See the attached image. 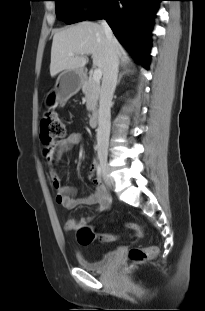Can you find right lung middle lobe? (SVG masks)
<instances>
[{
    "mask_svg": "<svg viewBox=\"0 0 205 311\" xmlns=\"http://www.w3.org/2000/svg\"><path fill=\"white\" fill-rule=\"evenodd\" d=\"M56 3L57 18L67 24L83 21L87 14H81L80 8L85 5L93 7L92 14L98 9L103 0H53ZM91 15V14H90Z\"/></svg>",
    "mask_w": 205,
    "mask_h": 311,
    "instance_id": "dd1d6c3e",
    "label": "right lung middle lobe"
}]
</instances>
